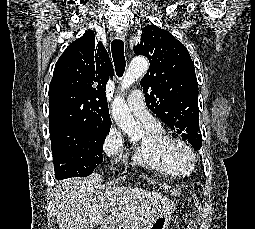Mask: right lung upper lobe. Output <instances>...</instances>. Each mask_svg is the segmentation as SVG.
Returning <instances> with one entry per match:
<instances>
[{
    "instance_id": "right-lung-upper-lobe-1",
    "label": "right lung upper lobe",
    "mask_w": 255,
    "mask_h": 229,
    "mask_svg": "<svg viewBox=\"0 0 255 229\" xmlns=\"http://www.w3.org/2000/svg\"><path fill=\"white\" fill-rule=\"evenodd\" d=\"M114 74L109 55L92 30L58 59L49 85V125L111 127L106 83Z\"/></svg>"
}]
</instances>
